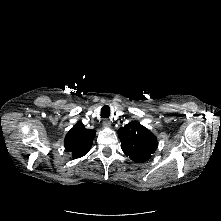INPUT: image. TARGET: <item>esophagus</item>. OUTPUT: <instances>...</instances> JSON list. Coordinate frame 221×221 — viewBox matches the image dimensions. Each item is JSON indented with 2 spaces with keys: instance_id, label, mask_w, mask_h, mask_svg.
Returning a JSON list of instances; mask_svg holds the SVG:
<instances>
[{
  "instance_id": "obj_1",
  "label": "esophagus",
  "mask_w": 221,
  "mask_h": 221,
  "mask_svg": "<svg viewBox=\"0 0 221 221\" xmlns=\"http://www.w3.org/2000/svg\"><path fill=\"white\" fill-rule=\"evenodd\" d=\"M103 127H104V128H110V127H111V122H110V120L105 119V120L103 121Z\"/></svg>"
}]
</instances>
